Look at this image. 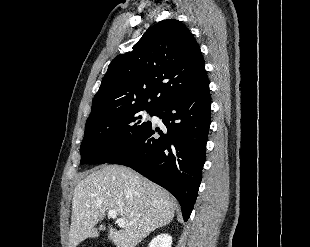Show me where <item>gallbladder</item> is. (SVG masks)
<instances>
[{
  "mask_svg": "<svg viewBox=\"0 0 310 247\" xmlns=\"http://www.w3.org/2000/svg\"><path fill=\"white\" fill-rule=\"evenodd\" d=\"M101 230H105V226L101 228Z\"/></svg>",
  "mask_w": 310,
  "mask_h": 247,
  "instance_id": "1",
  "label": "gallbladder"
}]
</instances>
